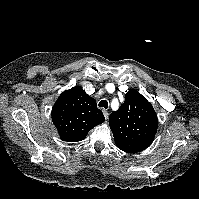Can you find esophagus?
<instances>
[{"label":"esophagus","mask_w":199,"mask_h":199,"mask_svg":"<svg viewBox=\"0 0 199 199\" xmlns=\"http://www.w3.org/2000/svg\"><path fill=\"white\" fill-rule=\"evenodd\" d=\"M103 114H104L105 119H108V117H109L108 111L107 110H103Z\"/></svg>","instance_id":"esophagus-1"}]
</instances>
